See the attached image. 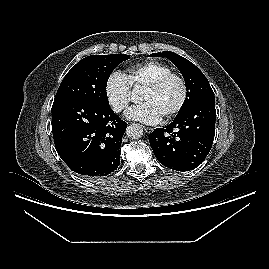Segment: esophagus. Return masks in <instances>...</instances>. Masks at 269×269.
Returning <instances> with one entry per match:
<instances>
[{"mask_svg": "<svg viewBox=\"0 0 269 269\" xmlns=\"http://www.w3.org/2000/svg\"><path fill=\"white\" fill-rule=\"evenodd\" d=\"M143 128H144V131L146 133H151L153 131V128H151V127H145V126H143Z\"/></svg>", "mask_w": 269, "mask_h": 269, "instance_id": "34e87169", "label": "esophagus"}]
</instances>
